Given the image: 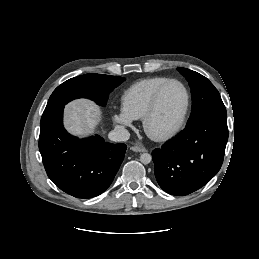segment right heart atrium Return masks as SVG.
I'll return each mask as SVG.
<instances>
[{"label": "right heart atrium", "mask_w": 259, "mask_h": 259, "mask_svg": "<svg viewBox=\"0 0 259 259\" xmlns=\"http://www.w3.org/2000/svg\"><path fill=\"white\" fill-rule=\"evenodd\" d=\"M113 122L120 128H132L134 119L129 116L122 108L115 110L112 115Z\"/></svg>", "instance_id": "1"}]
</instances>
